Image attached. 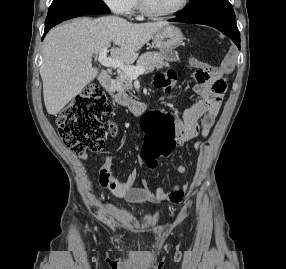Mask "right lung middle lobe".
<instances>
[{"label": "right lung middle lobe", "instance_id": "right-lung-middle-lobe-1", "mask_svg": "<svg viewBox=\"0 0 286 269\" xmlns=\"http://www.w3.org/2000/svg\"><path fill=\"white\" fill-rule=\"evenodd\" d=\"M109 12V8L102 0H53L45 27H53L62 21L83 15Z\"/></svg>", "mask_w": 286, "mask_h": 269}]
</instances>
